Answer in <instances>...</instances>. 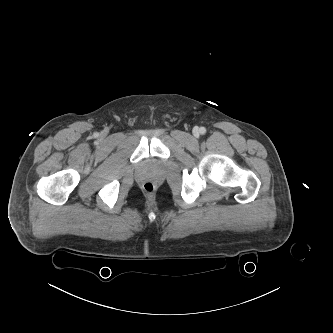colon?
<instances>
[{
  "label": "colon",
  "mask_w": 333,
  "mask_h": 333,
  "mask_svg": "<svg viewBox=\"0 0 333 333\" xmlns=\"http://www.w3.org/2000/svg\"><path fill=\"white\" fill-rule=\"evenodd\" d=\"M143 189L146 193L151 194L155 190V186L152 182L147 181L143 184Z\"/></svg>",
  "instance_id": "1"
}]
</instances>
